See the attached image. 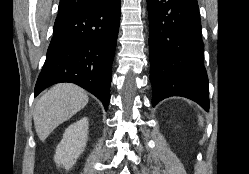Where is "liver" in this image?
Returning <instances> with one entry per match:
<instances>
[{"mask_svg":"<svg viewBox=\"0 0 249 174\" xmlns=\"http://www.w3.org/2000/svg\"><path fill=\"white\" fill-rule=\"evenodd\" d=\"M85 90L71 83L54 85L36 103L33 120L36 133L44 141L50 133L88 103Z\"/></svg>","mask_w":249,"mask_h":174,"instance_id":"6515ba94","label":"liver"}]
</instances>
